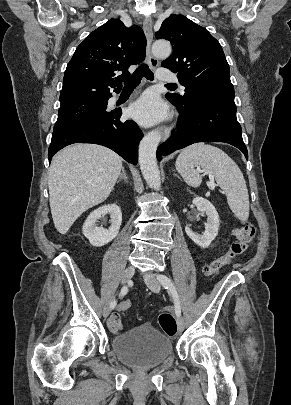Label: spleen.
<instances>
[{
    "instance_id": "1",
    "label": "spleen",
    "mask_w": 291,
    "mask_h": 405,
    "mask_svg": "<svg viewBox=\"0 0 291 405\" xmlns=\"http://www.w3.org/2000/svg\"><path fill=\"white\" fill-rule=\"evenodd\" d=\"M214 174L217 184L226 193L227 202L241 221L249 217V195L244 176L237 164L221 149L203 143L185 148L176 159V169L191 187H198L199 170Z\"/></svg>"
}]
</instances>
